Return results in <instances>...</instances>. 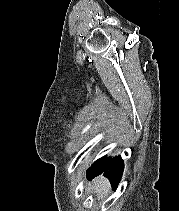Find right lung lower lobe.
<instances>
[{"instance_id":"1","label":"right lung lower lobe","mask_w":179,"mask_h":211,"mask_svg":"<svg viewBox=\"0 0 179 211\" xmlns=\"http://www.w3.org/2000/svg\"><path fill=\"white\" fill-rule=\"evenodd\" d=\"M123 169L124 163L120 156L114 158L104 156L91 165L87 178L91 180L95 176L103 174L110 180L112 188L115 190L121 180Z\"/></svg>"}]
</instances>
